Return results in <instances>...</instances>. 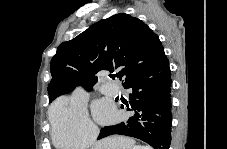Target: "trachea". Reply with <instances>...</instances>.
Returning a JSON list of instances; mask_svg holds the SVG:
<instances>
[{"label":"trachea","instance_id":"trachea-1","mask_svg":"<svg viewBox=\"0 0 227 149\" xmlns=\"http://www.w3.org/2000/svg\"><path fill=\"white\" fill-rule=\"evenodd\" d=\"M110 77H111L112 79H115L116 75H111Z\"/></svg>","mask_w":227,"mask_h":149}]
</instances>
